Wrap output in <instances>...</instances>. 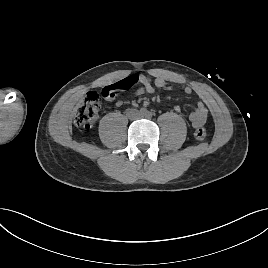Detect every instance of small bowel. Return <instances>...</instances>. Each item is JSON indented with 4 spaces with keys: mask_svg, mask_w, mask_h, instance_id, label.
Listing matches in <instances>:
<instances>
[{
    "mask_svg": "<svg viewBox=\"0 0 268 268\" xmlns=\"http://www.w3.org/2000/svg\"><path fill=\"white\" fill-rule=\"evenodd\" d=\"M126 78H132L135 80V84H140V87L136 90L135 94L137 96L143 95L145 93H154L156 90H173L174 87L170 85L165 79L161 77L151 78L142 74H133ZM125 78V79H126ZM124 80V79H123ZM122 81V80H121ZM183 92L187 95L193 93V89L190 86L183 88ZM147 104V102H145ZM122 102L118 101L117 106H121ZM175 111L179 112L180 107L176 106ZM208 110L203 102H198L196 108L191 112L189 119L193 128L202 127L207 120Z\"/></svg>",
    "mask_w": 268,
    "mask_h": 268,
    "instance_id": "obj_1",
    "label": "small bowel"
}]
</instances>
